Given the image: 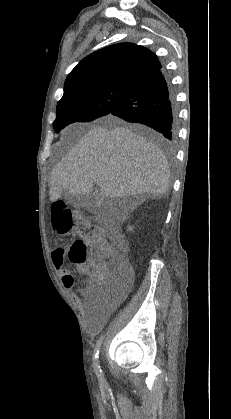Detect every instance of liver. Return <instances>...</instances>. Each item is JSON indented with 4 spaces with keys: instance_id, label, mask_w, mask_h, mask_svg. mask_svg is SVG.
Instances as JSON below:
<instances>
[{
    "instance_id": "obj_1",
    "label": "liver",
    "mask_w": 231,
    "mask_h": 419,
    "mask_svg": "<svg viewBox=\"0 0 231 419\" xmlns=\"http://www.w3.org/2000/svg\"><path fill=\"white\" fill-rule=\"evenodd\" d=\"M107 120L117 125L89 130L55 167L50 178L51 201L60 198L63 190L89 195L94 184L102 198L166 194L170 172L163 152L115 118Z\"/></svg>"
}]
</instances>
